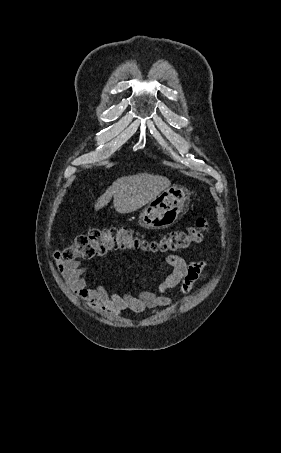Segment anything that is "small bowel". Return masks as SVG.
<instances>
[{
  "instance_id": "small-bowel-1",
  "label": "small bowel",
  "mask_w": 281,
  "mask_h": 453,
  "mask_svg": "<svg viewBox=\"0 0 281 453\" xmlns=\"http://www.w3.org/2000/svg\"><path fill=\"white\" fill-rule=\"evenodd\" d=\"M54 259L69 287L98 310L141 313L149 308H168L173 303L170 297L155 292H142L138 295L109 293L102 285L93 286L85 279L86 272L77 259H64L59 252L55 254ZM164 262L172 267V271L165 274L158 285L161 292L180 288L184 293H190L193 284L203 276L207 266L204 260L188 264L179 254L167 256Z\"/></svg>"
}]
</instances>
